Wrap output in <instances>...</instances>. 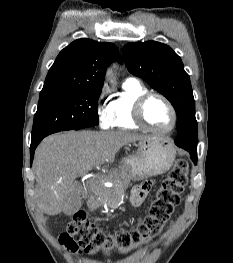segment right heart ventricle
I'll return each instance as SVG.
<instances>
[{
  "mask_svg": "<svg viewBox=\"0 0 233 263\" xmlns=\"http://www.w3.org/2000/svg\"><path fill=\"white\" fill-rule=\"evenodd\" d=\"M147 92V88L135 79H127L123 83L122 93L110 102L112 128L136 129L139 127L133 118V109L137 99Z\"/></svg>",
  "mask_w": 233,
  "mask_h": 263,
  "instance_id": "obj_1",
  "label": "right heart ventricle"
}]
</instances>
